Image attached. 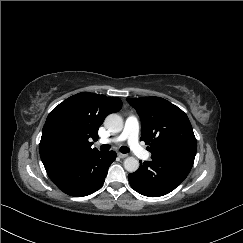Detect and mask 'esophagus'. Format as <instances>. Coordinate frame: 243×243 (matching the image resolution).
I'll return each instance as SVG.
<instances>
[{
  "instance_id": "1",
  "label": "esophagus",
  "mask_w": 243,
  "mask_h": 243,
  "mask_svg": "<svg viewBox=\"0 0 243 243\" xmlns=\"http://www.w3.org/2000/svg\"><path fill=\"white\" fill-rule=\"evenodd\" d=\"M117 155H118L120 158H126V157L128 156L127 154L120 153V152H118Z\"/></svg>"
}]
</instances>
